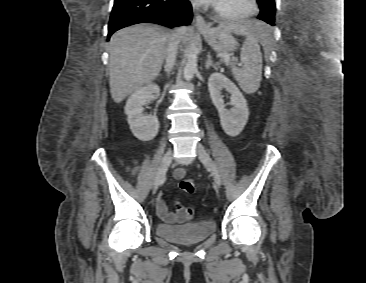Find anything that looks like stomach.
Instances as JSON below:
<instances>
[{
  "instance_id": "1",
  "label": "stomach",
  "mask_w": 366,
  "mask_h": 283,
  "mask_svg": "<svg viewBox=\"0 0 366 283\" xmlns=\"http://www.w3.org/2000/svg\"><path fill=\"white\" fill-rule=\"evenodd\" d=\"M200 34L217 53L224 55L237 49L238 43L231 32L222 27L208 28Z\"/></svg>"
}]
</instances>
